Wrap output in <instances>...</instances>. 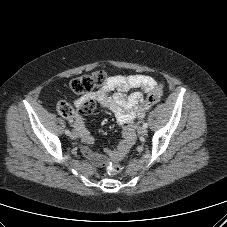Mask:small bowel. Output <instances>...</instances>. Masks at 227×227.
<instances>
[{"label":"small bowel","instance_id":"c3829d8e","mask_svg":"<svg viewBox=\"0 0 227 227\" xmlns=\"http://www.w3.org/2000/svg\"><path fill=\"white\" fill-rule=\"evenodd\" d=\"M157 85L154 78L142 75H114L107 78L106 83L97 92L82 96L75 101L77 110L69 118L82 140V151L90 162L103 166L110 160H118L131 148L134 141V125L139 119L137 112L144 103V94L150 93ZM131 89H140L129 95ZM111 92H114L112 95ZM96 102L110 110L122 127V136L116 149H110L105 154L93 151V136L87 129L85 115L91 114L96 108Z\"/></svg>","mask_w":227,"mask_h":227}]
</instances>
